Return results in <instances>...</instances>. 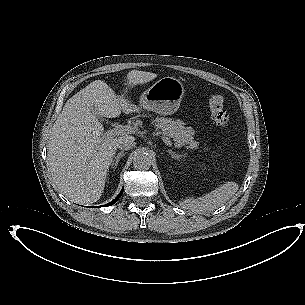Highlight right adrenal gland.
Masks as SVG:
<instances>
[{"label":"right adrenal gland","instance_id":"2a0ac1e0","mask_svg":"<svg viewBox=\"0 0 305 305\" xmlns=\"http://www.w3.org/2000/svg\"><path fill=\"white\" fill-rule=\"evenodd\" d=\"M125 152L124 151H121L119 153H117L113 158H112V161H111V167L112 168H116L120 159L125 156Z\"/></svg>","mask_w":305,"mask_h":305}]
</instances>
